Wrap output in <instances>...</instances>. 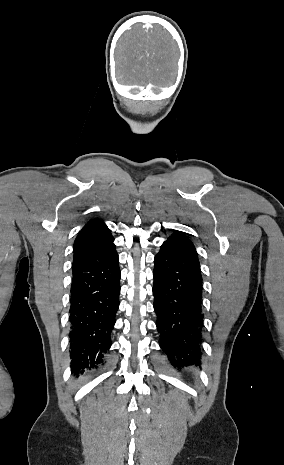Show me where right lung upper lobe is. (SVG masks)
<instances>
[{
	"mask_svg": "<svg viewBox=\"0 0 284 465\" xmlns=\"http://www.w3.org/2000/svg\"><path fill=\"white\" fill-rule=\"evenodd\" d=\"M111 238L110 230L102 221L98 219L90 220L75 239L74 260L97 249Z\"/></svg>",
	"mask_w": 284,
	"mask_h": 465,
	"instance_id": "cb5924a9",
	"label": "right lung upper lobe"
}]
</instances>
